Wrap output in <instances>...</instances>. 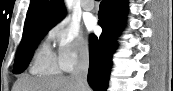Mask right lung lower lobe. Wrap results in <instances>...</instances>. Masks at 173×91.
I'll return each mask as SVG.
<instances>
[{"label": "right lung lower lobe", "instance_id": "right-lung-lower-lobe-1", "mask_svg": "<svg viewBox=\"0 0 173 91\" xmlns=\"http://www.w3.org/2000/svg\"><path fill=\"white\" fill-rule=\"evenodd\" d=\"M126 0H102L98 13L102 27L100 37L90 36V64L88 70L89 85L95 91H106L112 66V55L118 44L117 37L126 19Z\"/></svg>", "mask_w": 173, "mask_h": 91}]
</instances>
